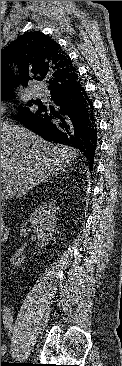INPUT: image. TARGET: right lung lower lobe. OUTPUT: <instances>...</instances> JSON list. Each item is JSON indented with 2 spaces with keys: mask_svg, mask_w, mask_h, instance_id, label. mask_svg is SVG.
I'll use <instances>...</instances> for the list:
<instances>
[{
  "mask_svg": "<svg viewBox=\"0 0 122 366\" xmlns=\"http://www.w3.org/2000/svg\"><path fill=\"white\" fill-rule=\"evenodd\" d=\"M51 103L40 102L38 111L20 115L24 126L43 139L76 149L92 169L97 147V128L93 105L80 83L75 79L48 88Z\"/></svg>",
  "mask_w": 122,
  "mask_h": 366,
  "instance_id": "obj_1",
  "label": "right lung lower lobe"
}]
</instances>
